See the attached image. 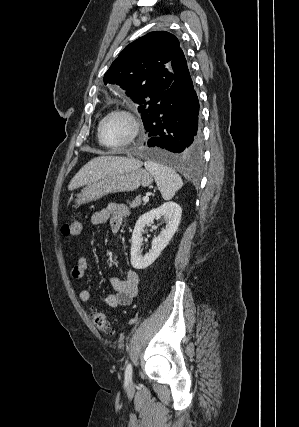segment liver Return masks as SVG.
Instances as JSON below:
<instances>
[{"label":"liver","instance_id":"1","mask_svg":"<svg viewBox=\"0 0 299 427\" xmlns=\"http://www.w3.org/2000/svg\"><path fill=\"white\" fill-rule=\"evenodd\" d=\"M142 162L121 156H98L86 163L71 179L68 190H74L101 178L141 167Z\"/></svg>","mask_w":299,"mask_h":427}]
</instances>
